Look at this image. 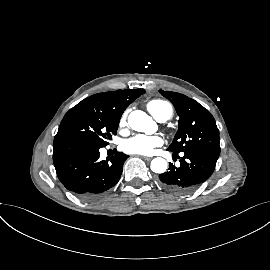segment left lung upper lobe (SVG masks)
<instances>
[{
    "label": "left lung upper lobe",
    "instance_id": "5c2ea615",
    "mask_svg": "<svg viewBox=\"0 0 270 270\" xmlns=\"http://www.w3.org/2000/svg\"><path fill=\"white\" fill-rule=\"evenodd\" d=\"M160 93L171 101L179 116V128L168 150L198 151L219 157V130L211 113L183 94L163 90Z\"/></svg>",
    "mask_w": 270,
    "mask_h": 270
}]
</instances>
